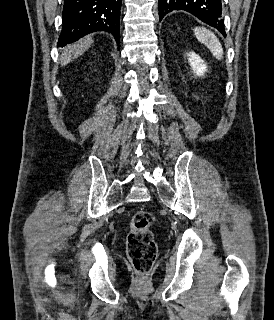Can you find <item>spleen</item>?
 I'll list each match as a JSON object with an SVG mask.
<instances>
[{
    "instance_id": "3e777b00",
    "label": "spleen",
    "mask_w": 274,
    "mask_h": 320,
    "mask_svg": "<svg viewBox=\"0 0 274 320\" xmlns=\"http://www.w3.org/2000/svg\"><path fill=\"white\" fill-rule=\"evenodd\" d=\"M194 36H196L198 42L207 46L208 50H210L217 60H222L223 48L213 32L206 30V28H194Z\"/></svg>"
}]
</instances>
